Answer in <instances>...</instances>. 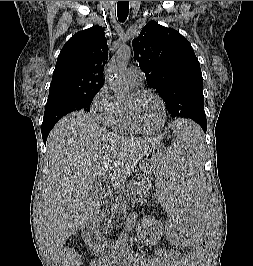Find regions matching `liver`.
I'll use <instances>...</instances> for the list:
<instances>
[{"label":"liver","instance_id":"1","mask_svg":"<svg viewBox=\"0 0 253 266\" xmlns=\"http://www.w3.org/2000/svg\"><path fill=\"white\" fill-rule=\"evenodd\" d=\"M162 138L122 137L84 111L59 120L47 139L49 172L43 185L39 225L53 261L66 240L100 217L98 180L120 191L141 159ZM98 185V188H95Z\"/></svg>","mask_w":253,"mask_h":266}]
</instances>
